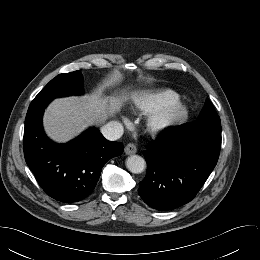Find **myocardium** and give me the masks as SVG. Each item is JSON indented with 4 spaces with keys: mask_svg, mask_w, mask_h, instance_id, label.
<instances>
[{
    "mask_svg": "<svg viewBox=\"0 0 260 260\" xmlns=\"http://www.w3.org/2000/svg\"><path fill=\"white\" fill-rule=\"evenodd\" d=\"M185 114V106L178 97L155 110L151 111L147 118V129L151 133L165 132L177 125Z\"/></svg>",
    "mask_w": 260,
    "mask_h": 260,
    "instance_id": "f54148a6",
    "label": "myocardium"
}]
</instances>
